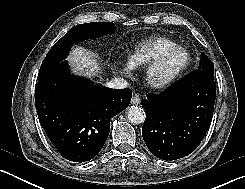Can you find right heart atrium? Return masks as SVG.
<instances>
[{"label": "right heart atrium", "instance_id": "1", "mask_svg": "<svg viewBox=\"0 0 245 189\" xmlns=\"http://www.w3.org/2000/svg\"><path fill=\"white\" fill-rule=\"evenodd\" d=\"M123 71H124L125 74L130 75V73H131V66L128 65V64L125 65L124 68H123Z\"/></svg>", "mask_w": 245, "mask_h": 189}]
</instances>
